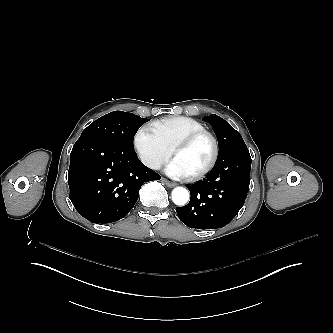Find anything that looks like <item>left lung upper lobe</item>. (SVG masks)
I'll return each instance as SVG.
<instances>
[{
	"label": "left lung upper lobe",
	"instance_id": "1",
	"mask_svg": "<svg viewBox=\"0 0 333 333\" xmlns=\"http://www.w3.org/2000/svg\"><path fill=\"white\" fill-rule=\"evenodd\" d=\"M203 121L208 122L218 138L219 154L216 162H219L227 156L242 150H248L241 135L224 119L211 114L205 116Z\"/></svg>",
	"mask_w": 333,
	"mask_h": 333
}]
</instances>
